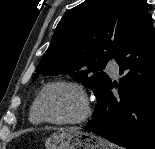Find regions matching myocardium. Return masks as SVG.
I'll return each mask as SVG.
<instances>
[{"label":"myocardium","mask_w":155,"mask_h":149,"mask_svg":"<svg viewBox=\"0 0 155 149\" xmlns=\"http://www.w3.org/2000/svg\"><path fill=\"white\" fill-rule=\"evenodd\" d=\"M53 86H68V87L75 89L79 93V95L82 99V111L78 117L73 118V119H66V120H54V119L48 118L44 114V112L41 108L42 97H43L44 93L50 87H53ZM34 108H35L36 113L38 114V116L40 117V119L43 122L53 124V125H76V124H80V123H83L84 121H86L92 113V107H91L89 95H88L86 88L81 83L74 81V80H68V79H58V80H53V81L46 83L40 89L39 93L37 94V96L35 98Z\"/></svg>","instance_id":"f54148a6"}]
</instances>
